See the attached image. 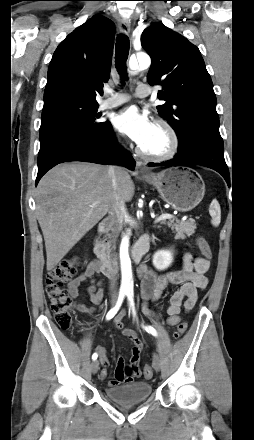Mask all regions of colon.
Instances as JSON below:
<instances>
[{"instance_id":"5ec220e1","label":"colon","mask_w":254,"mask_h":440,"mask_svg":"<svg viewBox=\"0 0 254 440\" xmlns=\"http://www.w3.org/2000/svg\"><path fill=\"white\" fill-rule=\"evenodd\" d=\"M197 245L204 258L209 261L212 258V249L203 236L197 237ZM79 261L77 258H69L55 265L47 275L46 293L49 298L50 307L54 315V320L59 328L68 330L72 327V303L68 291L64 288V283L70 280L77 272ZM187 330V323L180 322L175 330L174 337L181 338ZM127 372L131 379L133 371L128 368ZM143 374L146 378L153 376V369L150 365L144 367Z\"/></svg>"}]
</instances>
